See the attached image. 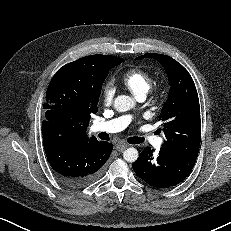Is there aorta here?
Wrapping results in <instances>:
<instances>
[{
	"label": "aorta",
	"instance_id": "1",
	"mask_svg": "<svg viewBox=\"0 0 231 231\" xmlns=\"http://www.w3.org/2000/svg\"><path fill=\"white\" fill-rule=\"evenodd\" d=\"M135 106V100L127 95H120L114 100V108L118 112H126ZM139 156L136 148L130 147L123 152V158L127 162H135Z\"/></svg>",
	"mask_w": 231,
	"mask_h": 231
}]
</instances>
